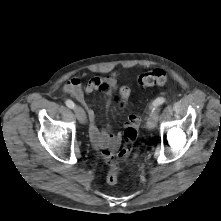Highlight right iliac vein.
Returning a JSON list of instances; mask_svg holds the SVG:
<instances>
[{
	"label": "right iliac vein",
	"mask_w": 221,
	"mask_h": 221,
	"mask_svg": "<svg viewBox=\"0 0 221 221\" xmlns=\"http://www.w3.org/2000/svg\"><path fill=\"white\" fill-rule=\"evenodd\" d=\"M74 111H75V114H76V117H77L78 121L81 124H85L87 119H86V114H85L84 110L80 106H76L74 108Z\"/></svg>",
	"instance_id": "1"
}]
</instances>
